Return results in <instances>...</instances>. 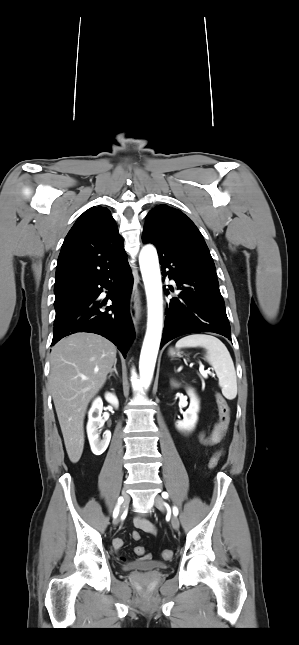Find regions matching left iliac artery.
<instances>
[{"label":"left iliac artery","instance_id":"left-iliac-artery-1","mask_svg":"<svg viewBox=\"0 0 299 645\" xmlns=\"http://www.w3.org/2000/svg\"><path fill=\"white\" fill-rule=\"evenodd\" d=\"M162 497H163V498H165V499H167V498H168V493H167V492H163V493H162ZM173 514H174V515H176V516L178 515V509H177V507H175V506L173 507Z\"/></svg>","mask_w":299,"mask_h":645}]
</instances>
